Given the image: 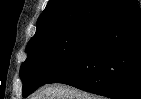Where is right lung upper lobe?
Listing matches in <instances>:
<instances>
[{
  "mask_svg": "<svg viewBox=\"0 0 141 99\" xmlns=\"http://www.w3.org/2000/svg\"><path fill=\"white\" fill-rule=\"evenodd\" d=\"M135 2L136 0H49L38 18L33 38L80 22H101Z\"/></svg>",
  "mask_w": 141,
  "mask_h": 99,
  "instance_id": "right-lung-upper-lobe-1",
  "label": "right lung upper lobe"
}]
</instances>
